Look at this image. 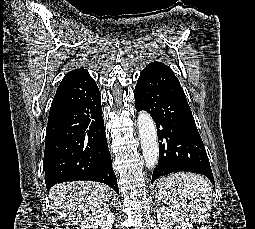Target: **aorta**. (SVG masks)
<instances>
[{"label": "aorta", "mask_w": 255, "mask_h": 229, "mask_svg": "<svg viewBox=\"0 0 255 229\" xmlns=\"http://www.w3.org/2000/svg\"><path fill=\"white\" fill-rule=\"evenodd\" d=\"M138 129L145 164L152 169L158 161L159 147L155 123L146 111L138 115Z\"/></svg>", "instance_id": "obj_1"}]
</instances>
